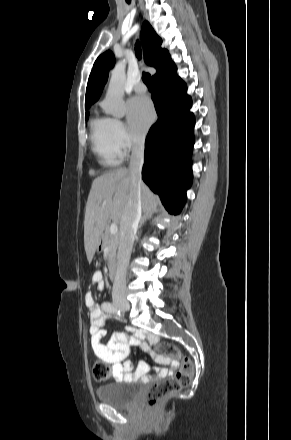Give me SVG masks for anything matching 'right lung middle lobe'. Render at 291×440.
I'll list each match as a JSON object with an SVG mask.
<instances>
[{
    "mask_svg": "<svg viewBox=\"0 0 291 440\" xmlns=\"http://www.w3.org/2000/svg\"><path fill=\"white\" fill-rule=\"evenodd\" d=\"M88 116H89V113H86V119L88 118Z\"/></svg>",
    "mask_w": 291,
    "mask_h": 440,
    "instance_id": "1",
    "label": "right lung middle lobe"
}]
</instances>
